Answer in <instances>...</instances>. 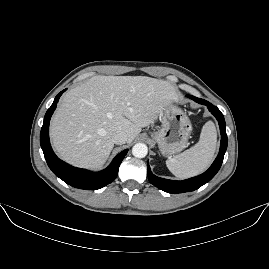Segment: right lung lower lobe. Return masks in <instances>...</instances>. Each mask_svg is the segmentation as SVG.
<instances>
[{"label": "right lung lower lobe", "mask_w": 269, "mask_h": 269, "mask_svg": "<svg viewBox=\"0 0 269 269\" xmlns=\"http://www.w3.org/2000/svg\"><path fill=\"white\" fill-rule=\"evenodd\" d=\"M66 90V89H65ZM61 91L54 99L51 107L47 110L43 126L40 132V144L43 150L46 162L53 173L61 180L72 187L96 190L111 183L118 174L119 166L128 152V149L120 152L105 170L100 172H91L85 169L75 168L60 160L53 152L49 142V122L57 106V102L65 91Z\"/></svg>", "instance_id": "1"}]
</instances>
